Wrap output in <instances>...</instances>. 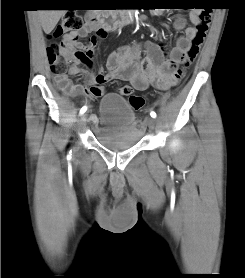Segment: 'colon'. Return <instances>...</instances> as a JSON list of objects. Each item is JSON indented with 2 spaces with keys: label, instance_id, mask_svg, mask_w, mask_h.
<instances>
[{
  "label": "colon",
  "instance_id": "1",
  "mask_svg": "<svg viewBox=\"0 0 245 278\" xmlns=\"http://www.w3.org/2000/svg\"><path fill=\"white\" fill-rule=\"evenodd\" d=\"M193 9L198 13V19L195 26L196 35L188 50L187 61L184 65L185 67L189 66L194 61L198 53V44L203 40L211 22L209 6H195ZM83 24L84 21L80 15L70 12L63 15L55 30L47 33V40L49 42L48 55L50 57L51 71L56 77L63 78L68 63L74 61L83 62L87 59L88 55L86 51L78 49L70 44L63 43L62 41H56V39L62 35L81 31L83 29ZM181 72L182 68L176 69L175 76L177 78L180 77ZM62 83L68 84L64 79H62ZM118 93L122 96L129 97V103L135 110L140 109L144 105V98L139 95H132L131 89L128 86L120 87Z\"/></svg>",
  "mask_w": 245,
  "mask_h": 278
}]
</instances>
